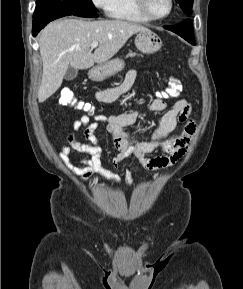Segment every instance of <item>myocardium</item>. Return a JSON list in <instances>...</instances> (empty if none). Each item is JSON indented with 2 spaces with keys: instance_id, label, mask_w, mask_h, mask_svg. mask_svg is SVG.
Here are the masks:
<instances>
[{
  "instance_id": "myocardium-1",
  "label": "myocardium",
  "mask_w": 243,
  "mask_h": 289,
  "mask_svg": "<svg viewBox=\"0 0 243 289\" xmlns=\"http://www.w3.org/2000/svg\"><path fill=\"white\" fill-rule=\"evenodd\" d=\"M136 1V5L138 10L140 11V13L142 15H144L146 18H148L149 20H163L165 18H167L168 16H170V14L173 11L174 8V0H169V10L165 15L162 16H155L153 15L149 9H148V5H147V0H135Z\"/></svg>"
}]
</instances>
